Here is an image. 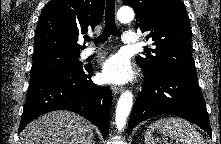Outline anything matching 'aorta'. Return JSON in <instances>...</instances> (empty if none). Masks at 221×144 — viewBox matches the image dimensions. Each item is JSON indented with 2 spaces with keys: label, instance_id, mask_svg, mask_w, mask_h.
Returning <instances> with one entry per match:
<instances>
[{
  "label": "aorta",
  "instance_id": "1",
  "mask_svg": "<svg viewBox=\"0 0 221 144\" xmlns=\"http://www.w3.org/2000/svg\"><path fill=\"white\" fill-rule=\"evenodd\" d=\"M117 18L121 23H128L134 18V11L131 7H121L117 12ZM133 104V94L131 91H124L117 103L115 124L119 131L124 129L128 115Z\"/></svg>",
  "mask_w": 221,
  "mask_h": 144
}]
</instances>
